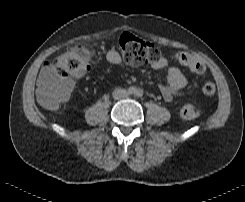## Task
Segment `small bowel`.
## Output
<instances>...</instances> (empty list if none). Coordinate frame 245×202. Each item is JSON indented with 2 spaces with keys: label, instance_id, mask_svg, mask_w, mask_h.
<instances>
[{
  "label": "small bowel",
  "instance_id": "small-bowel-1",
  "mask_svg": "<svg viewBox=\"0 0 245 202\" xmlns=\"http://www.w3.org/2000/svg\"><path fill=\"white\" fill-rule=\"evenodd\" d=\"M105 59L114 65L121 63L122 60L120 53L115 49H108L105 52ZM152 67L156 70L166 71V83L160 84L159 89L166 102L172 101L173 97L187 85L185 74L179 67L171 65L166 57H161L158 61L153 62ZM56 83L66 89L69 95L73 92L74 82L71 79L57 77L48 66L44 67L38 80V90Z\"/></svg>",
  "mask_w": 245,
  "mask_h": 202
}]
</instances>
